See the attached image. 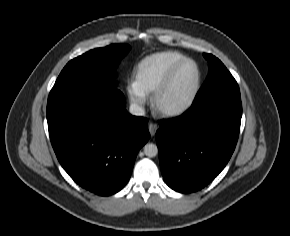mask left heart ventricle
<instances>
[{
    "label": "left heart ventricle",
    "mask_w": 290,
    "mask_h": 236,
    "mask_svg": "<svg viewBox=\"0 0 290 236\" xmlns=\"http://www.w3.org/2000/svg\"><path fill=\"white\" fill-rule=\"evenodd\" d=\"M196 82V69L191 63L183 65L175 74L171 84L159 99L165 108H174L183 104L191 95Z\"/></svg>",
    "instance_id": "left-heart-ventricle-1"
}]
</instances>
